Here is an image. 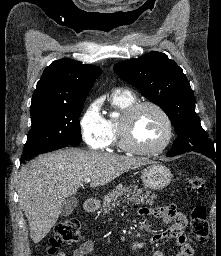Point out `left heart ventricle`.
I'll return each mask as SVG.
<instances>
[{"label":"left heart ventricle","instance_id":"b2bd125f","mask_svg":"<svg viewBox=\"0 0 221 256\" xmlns=\"http://www.w3.org/2000/svg\"><path fill=\"white\" fill-rule=\"evenodd\" d=\"M165 132V123L160 114L146 107L134 118L131 137L138 146L152 148L163 140Z\"/></svg>","mask_w":221,"mask_h":256}]
</instances>
